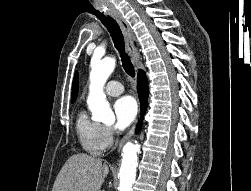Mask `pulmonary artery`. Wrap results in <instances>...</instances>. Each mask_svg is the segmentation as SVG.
I'll use <instances>...</instances> for the list:
<instances>
[{
  "instance_id": "1",
  "label": "pulmonary artery",
  "mask_w": 251,
  "mask_h": 191,
  "mask_svg": "<svg viewBox=\"0 0 251 191\" xmlns=\"http://www.w3.org/2000/svg\"><path fill=\"white\" fill-rule=\"evenodd\" d=\"M105 90L109 95L117 96L123 93L124 86L118 81L111 80L106 84Z\"/></svg>"
}]
</instances>
